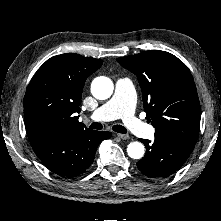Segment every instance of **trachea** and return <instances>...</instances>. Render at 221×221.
<instances>
[{
    "label": "trachea",
    "mask_w": 221,
    "mask_h": 221,
    "mask_svg": "<svg viewBox=\"0 0 221 221\" xmlns=\"http://www.w3.org/2000/svg\"><path fill=\"white\" fill-rule=\"evenodd\" d=\"M90 128L96 129V130H100V129L103 128V126H102L101 123L93 122V123H91ZM112 129H113L115 132H118V133H127V129H125V127H123V126H121V125H114V126L112 127Z\"/></svg>",
    "instance_id": "3493384b"
}]
</instances>
